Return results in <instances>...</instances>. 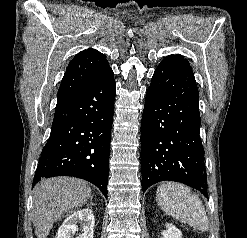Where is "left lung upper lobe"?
Returning <instances> with one entry per match:
<instances>
[{"label":"left lung upper lobe","mask_w":247,"mask_h":238,"mask_svg":"<svg viewBox=\"0 0 247 238\" xmlns=\"http://www.w3.org/2000/svg\"><path fill=\"white\" fill-rule=\"evenodd\" d=\"M168 57L178 58V59L183 60V61L186 62L187 64H189L188 61H187L186 59H184V57L181 56V55H170V56H168Z\"/></svg>","instance_id":"5c2ea615"}]
</instances>
